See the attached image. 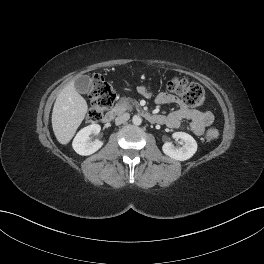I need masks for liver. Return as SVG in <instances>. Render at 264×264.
<instances>
[{
    "label": "liver",
    "instance_id": "6515ba94",
    "mask_svg": "<svg viewBox=\"0 0 264 264\" xmlns=\"http://www.w3.org/2000/svg\"><path fill=\"white\" fill-rule=\"evenodd\" d=\"M88 110L86 100L70 81L58 94L52 111V128L59 143L66 145L75 135Z\"/></svg>",
    "mask_w": 264,
    "mask_h": 264
}]
</instances>
